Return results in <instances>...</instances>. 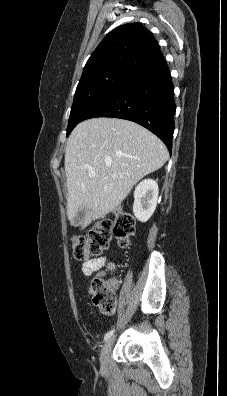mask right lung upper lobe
<instances>
[{
  "label": "right lung upper lobe",
  "instance_id": "cb5924a9",
  "mask_svg": "<svg viewBox=\"0 0 227 396\" xmlns=\"http://www.w3.org/2000/svg\"><path fill=\"white\" fill-rule=\"evenodd\" d=\"M159 52L157 41L141 23L121 25L107 34L92 53L81 79L109 68L134 70Z\"/></svg>",
  "mask_w": 227,
  "mask_h": 396
}]
</instances>
